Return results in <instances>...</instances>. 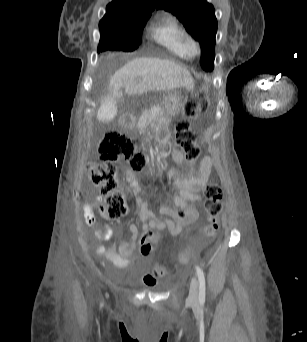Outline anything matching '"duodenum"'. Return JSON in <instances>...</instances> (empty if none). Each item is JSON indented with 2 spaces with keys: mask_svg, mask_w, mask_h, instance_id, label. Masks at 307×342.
<instances>
[{
  "mask_svg": "<svg viewBox=\"0 0 307 342\" xmlns=\"http://www.w3.org/2000/svg\"><path fill=\"white\" fill-rule=\"evenodd\" d=\"M121 125L125 129L131 128L132 121H131L130 117H128V116L123 117L121 120Z\"/></svg>",
  "mask_w": 307,
  "mask_h": 342,
  "instance_id": "obj_1",
  "label": "duodenum"
}]
</instances>
